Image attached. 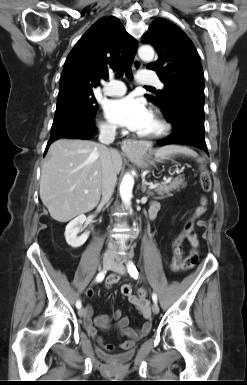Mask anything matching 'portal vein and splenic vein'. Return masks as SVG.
Instances as JSON below:
<instances>
[{"label": "portal vein and splenic vein", "mask_w": 247, "mask_h": 385, "mask_svg": "<svg viewBox=\"0 0 247 385\" xmlns=\"http://www.w3.org/2000/svg\"><path fill=\"white\" fill-rule=\"evenodd\" d=\"M176 172H179V169H178V168L176 169ZM158 185H159L158 183H156V184H151V185L149 186V188H150V189H154V188H156ZM84 192H85V193H88V190H85Z\"/></svg>", "instance_id": "1"}]
</instances>
